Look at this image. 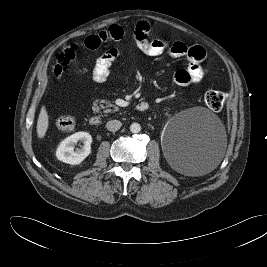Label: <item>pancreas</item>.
Instances as JSON below:
<instances>
[{
  "label": "pancreas",
  "mask_w": 267,
  "mask_h": 267,
  "mask_svg": "<svg viewBox=\"0 0 267 267\" xmlns=\"http://www.w3.org/2000/svg\"><path fill=\"white\" fill-rule=\"evenodd\" d=\"M103 104H106V106H104ZM107 107H113L114 108V111L118 109L117 106L111 104L109 101L101 100L100 101V107L98 106L97 103H95L94 106H93V110L98 112L100 108L104 109V108H107ZM105 112L106 113L107 112H111V110L110 109H106Z\"/></svg>",
  "instance_id": "pancreas-1"
}]
</instances>
